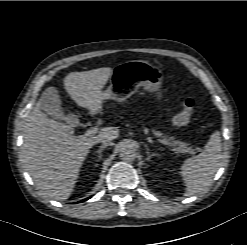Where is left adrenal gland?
<instances>
[{"mask_svg": "<svg viewBox=\"0 0 247 245\" xmlns=\"http://www.w3.org/2000/svg\"><path fill=\"white\" fill-rule=\"evenodd\" d=\"M145 148H146L147 160L150 161V159H151L153 156H155L156 154H155V153H152V154H151V153L149 152V148H148L147 145H145Z\"/></svg>", "mask_w": 247, "mask_h": 245, "instance_id": "obj_1", "label": "left adrenal gland"}]
</instances>
